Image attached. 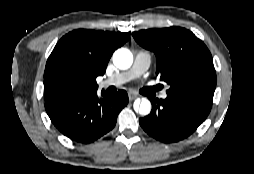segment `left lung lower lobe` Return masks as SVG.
<instances>
[{
    "label": "left lung lower lobe",
    "instance_id": "obj_1",
    "mask_svg": "<svg viewBox=\"0 0 254 174\" xmlns=\"http://www.w3.org/2000/svg\"><path fill=\"white\" fill-rule=\"evenodd\" d=\"M151 113L139 119L141 127L153 138L174 143L190 136L207 118L212 104L194 97L174 95L152 99Z\"/></svg>",
    "mask_w": 254,
    "mask_h": 174
}]
</instances>
